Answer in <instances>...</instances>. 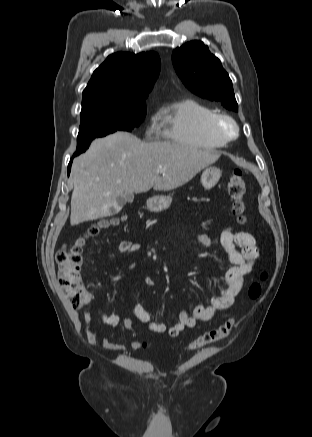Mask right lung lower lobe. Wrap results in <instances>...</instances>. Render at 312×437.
<instances>
[{"label": "right lung lower lobe", "mask_w": 312, "mask_h": 437, "mask_svg": "<svg viewBox=\"0 0 312 437\" xmlns=\"http://www.w3.org/2000/svg\"><path fill=\"white\" fill-rule=\"evenodd\" d=\"M71 164H72V159L70 160V163H69V165H68V175L70 174Z\"/></svg>", "instance_id": "right-lung-lower-lobe-1"}]
</instances>
